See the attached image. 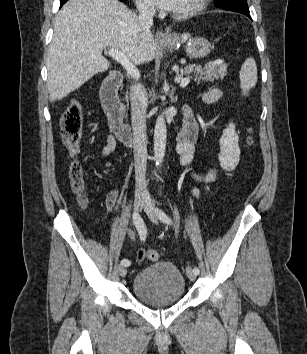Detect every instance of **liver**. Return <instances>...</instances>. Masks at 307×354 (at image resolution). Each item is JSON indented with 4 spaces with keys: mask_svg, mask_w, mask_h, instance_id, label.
<instances>
[{
    "mask_svg": "<svg viewBox=\"0 0 307 354\" xmlns=\"http://www.w3.org/2000/svg\"><path fill=\"white\" fill-rule=\"evenodd\" d=\"M105 47L121 50L134 64L155 58L157 44L136 13L118 0H69L58 12L48 49L47 90L61 100L110 67Z\"/></svg>",
    "mask_w": 307,
    "mask_h": 354,
    "instance_id": "liver-1",
    "label": "liver"
}]
</instances>
